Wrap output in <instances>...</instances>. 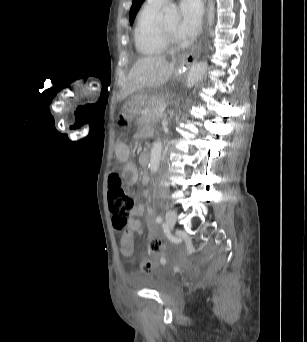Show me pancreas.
<instances>
[{
    "label": "pancreas",
    "mask_w": 307,
    "mask_h": 342,
    "mask_svg": "<svg viewBox=\"0 0 307 342\" xmlns=\"http://www.w3.org/2000/svg\"><path fill=\"white\" fill-rule=\"evenodd\" d=\"M163 101V96L161 94H155L154 97H149L148 99L149 104H161ZM160 107L161 106H151L148 110H144L142 117L147 119L151 116V118H155V120H160L163 116V112H160Z\"/></svg>",
    "instance_id": "1"
}]
</instances>
